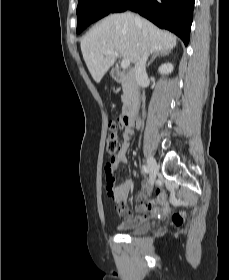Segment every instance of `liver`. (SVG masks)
Here are the masks:
<instances>
[{"instance_id":"1","label":"liver","mask_w":229,"mask_h":280,"mask_svg":"<svg viewBox=\"0 0 229 280\" xmlns=\"http://www.w3.org/2000/svg\"><path fill=\"white\" fill-rule=\"evenodd\" d=\"M142 21L147 30V40L143 36L142 27L136 24L135 16L131 13L105 17L82 38L83 59L96 83L116 62L115 56L103 55L105 51L114 50L136 64L144 51L148 54L170 51L176 46L177 38L173 34L145 19Z\"/></svg>"}]
</instances>
